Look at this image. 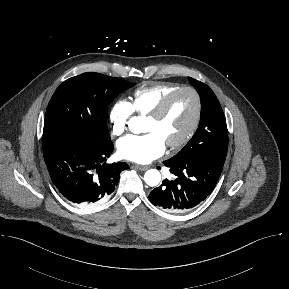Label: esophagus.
<instances>
[{"instance_id": "34e87169", "label": "esophagus", "mask_w": 289, "mask_h": 289, "mask_svg": "<svg viewBox=\"0 0 289 289\" xmlns=\"http://www.w3.org/2000/svg\"><path fill=\"white\" fill-rule=\"evenodd\" d=\"M134 167L141 170V171H145L149 168L148 166L138 165V164H135Z\"/></svg>"}]
</instances>
